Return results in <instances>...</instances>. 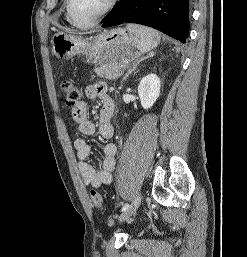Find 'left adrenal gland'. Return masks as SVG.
Segmentation results:
<instances>
[{"label":"left adrenal gland","instance_id":"obj_1","mask_svg":"<svg viewBox=\"0 0 247 257\" xmlns=\"http://www.w3.org/2000/svg\"><path fill=\"white\" fill-rule=\"evenodd\" d=\"M152 56H153V53H150V54L147 55L146 57L141 58L139 61L134 62V63H133V68L128 70V72L125 74V77L123 78V80H126V79L129 77V75H130L133 71L136 70L138 64H139L141 61H143V60H145V59H147V58H149V57H152Z\"/></svg>","mask_w":247,"mask_h":257}]
</instances>
